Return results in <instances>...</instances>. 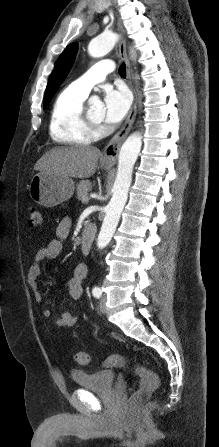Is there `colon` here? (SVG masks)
Instances as JSON below:
<instances>
[{
    "label": "colon",
    "mask_w": 219,
    "mask_h": 447,
    "mask_svg": "<svg viewBox=\"0 0 219 447\" xmlns=\"http://www.w3.org/2000/svg\"><path fill=\"white\" fill-rule=\"evenodd\" d=\"M42 222V215L37 206L31 205L29 207L28 224L31 228H37ZM75 359L79 364L85 365L89 362V356L83 351H78L75 354ZM105 367H122L131 368L132 371L140 377L139 388L133 393L132 401L140 402L145 397H148L159 386L158 376L151 370L132 363L127 357L120 354H113L108 356L104 361Z\"/></svg>",
    "instance_id": "colon-1"
}]
</instances>
